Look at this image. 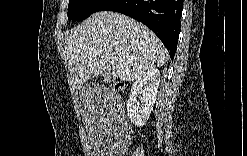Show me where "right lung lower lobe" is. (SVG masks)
I'll list each match as a JSON object with an SVG mask.
<instances>
[{
    "instance_id": "1",
    "label": "right lung lower lobe",
    "mask_w": 247,
    "mask_h": 156,
    "mask_svg": "<svg viewBox=\"0 0 247 156\" xmlns=\"http://www.w3.org/2000/svg\"><path fill=\"white\" fill-rule=\"evenodd\" d=\"M182 9L181 0H108L99 11L119 12L142 22L158 36L173 59Z\"/></svg>"
}]
</instances>
